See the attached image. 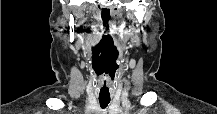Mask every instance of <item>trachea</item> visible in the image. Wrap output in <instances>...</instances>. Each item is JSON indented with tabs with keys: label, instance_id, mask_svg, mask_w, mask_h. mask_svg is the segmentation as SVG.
I'll return each mask as SVG.
<instances>
[{
	"label": "trachea",
	"instance_id": "3493384b",
	"mask_svg": "<svg viewBox=\"0 0 217 114\" xmlns=\"http://www.w3.org/2000/svg\"><path fill=\"white\" fill-rule=\"evenodd\" d=\"M110 102V99L99 98V103L102 108H106Z\"/></svg>",
	"mask_w": 217,
	"mask_h": 114
}]
</instances>
